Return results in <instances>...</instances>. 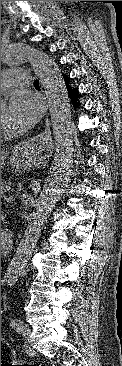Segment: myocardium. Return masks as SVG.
I'll use <instances>...</instances> for the list:
<instances>
[{"mask_svg":"<svg viewBox=\"0 0 122 366\" xmlns=\"http://www.w3.org/2000/svg\"><path fill=\"white\" fill-rule=\"evenodd\" d=\"M11 137V135L7 132L1 131V141L3 139H9Z\"/></svg>","mask_w":122,"mask_h":366,"instance_id":"1","label":"myocardium"}]
</instances>
